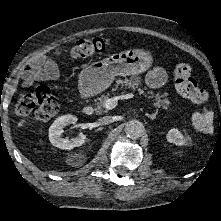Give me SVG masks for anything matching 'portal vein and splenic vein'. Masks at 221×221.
Wrapping results in <instances>:
<instances>
[{"instance_id": "1", "label": "portal vein and splenic vein", "mask_w": 221, "mask_h": 221, "mask_svg": "<svg viewBox=\"0 0 221 221\" xmlns=\"http://www.w3.org/2000/svg\"><path fill=\"white\" fill-rule=\"evenodd\" d=\"M133 97H134V94L130 93V94H123V95H119V96L109 98L105 102V107L108 110H112L117 106L118 100L130 99V98H133Z\"/></svg>"}]
</instances>
